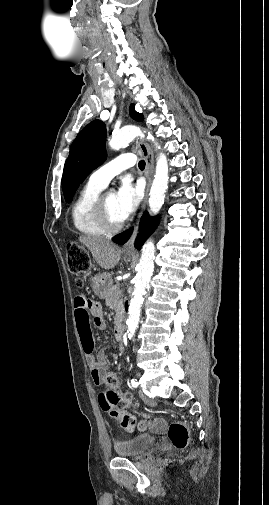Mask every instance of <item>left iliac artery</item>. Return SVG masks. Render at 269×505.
Masks as SVG:
<instances>
[{
	"instance_id": "1",
	"label": "left iliac artery",
	"mask_w": 269,
	"mask_h": 505,
	"mask_svg": "<svg viewBox=\"0 0 269 505\" xmlns=\"http://www.w3.org/2000/svg\"><path fill=\"white\" fill-rule=\"evenodd\" d=\"M131 385H132V387L137 388L138 385H139V383H138V381L136 379H132L131 380Z\"/></svg>"
}]
</instances>
